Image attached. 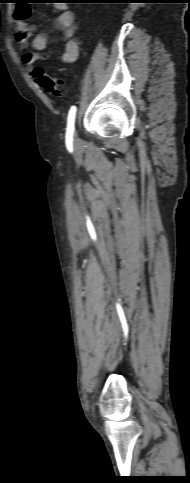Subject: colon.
I'll return each mask as SVG.
<instances>
[{
	"label": "colon",
	"instance_id": "1",
	"mask_svg": "<svg viewBox=\"0 0 190 483\" xmlns=\"http://www.w3.org/2000/svg\"><path fill=\"white\" fill-rule=\"evenodd\" d=\"M23 4L26 6H30L28 2ZM17 18L18 19L25 18V13L22 10L18 11ZM32 74L35 80L37 81V83L50 95L55 97H60L62 95L63 84L60 80L46 74L41 67L34 68Z\"/></svg>",
	"mask_w": 190,
	"mask_h": 483
}]
</instances>
